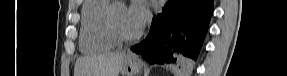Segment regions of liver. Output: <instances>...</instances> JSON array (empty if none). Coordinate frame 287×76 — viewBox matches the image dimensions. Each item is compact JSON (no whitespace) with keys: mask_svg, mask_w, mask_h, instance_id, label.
<instances>
[{"mask_svg":"<svg viewBox=\"0 0 287 76\" xmlns=\"http://www.w3.org/2000/svg\"><path fill=\"white\" fill-rule=\"evenodd\" d=\"M125 56V52H105L80 58L75 64V76H118Z\"/></svg>","mask_w":287,"mask_h":76,"instance_id":"1","label":"liver"}]
</instances>
